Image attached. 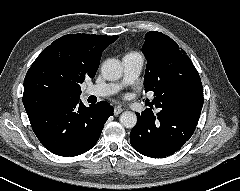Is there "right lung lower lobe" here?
Instances as JSON below:
<instances>
[{"instance_id": "right-lung-lower-lobe-1", "label": "right lung lower lobe", "mask_w": 240, "mask_h": 191, "mask_svg": "<svg viewBox=\"0 0 240 191\" xmlns=\"http://www.w3.org/2000/svg\"><path fill=\"white\" fill-rule=\"evenodd\" d=\"M25 109L39 141L53 154L65 157L90 150L113 115L107 102L86 107L79 98L35 102Z\"/></svg>"}]
</instances>
